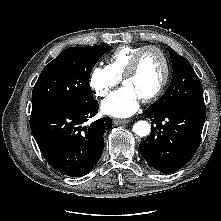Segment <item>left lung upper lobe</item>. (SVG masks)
<instances>
[{"mask_svg": "<svg viewBox=\"0 0 221 221\" xmlns=\"http://www.w3.org/2000/svg\"><path fill=\"white\" fill-rule=\"evenodd\" d=\"M173 76L167 91L150 107V112L181 107H203L202 85L189 61L169 47Z\"/></svg>", "mask_w": 221, "mask_h": 221, "instance_id": "5c2ea615", "label": "left lung upper lobe"}]
</instances>
